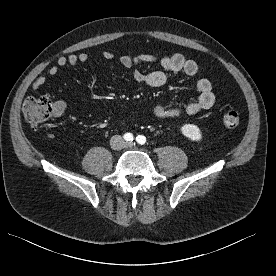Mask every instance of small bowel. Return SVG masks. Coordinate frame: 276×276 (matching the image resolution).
<instances>
[{
    "label": "small bowel",
    "mask_w": 276,
    "mask_h": 276,
    "mask_svg": "<svg viewBox=\"0 0 276 276\" xmlns=\"http://www.w3.org/2000/svg\"><path fill=\"white\" fill-rule=\"evenodd\" d=\"M102 58L106 61L114 59V54L111 51H104ZM89 60L87 53H73L68 56H61L57 59L56 65L50 66L48 73L50 76H56L59 73V68L67 65L77 66L80 63H86ZM158 61L161 69L143 73L135 69L133 71V78L136 82L145 84L150 87L158 88L167 82V73L180 74L183 73L188 76H194L198 73V64L192 60L184 57L181 54H174L158 58L153 54H139L136 56L122 55L119 57V62L123 67L130 68L141 63H154ZM44 77H38L33 85L32 91H39L45 84ZM196 89L198 91L197 99L187 103L184 106H164L157 105L153 108V114L156 118L161 120H175L183 114L194 115L198 112L208 109L213 106L215 102V95L212 90L211 82L206 78H201L196 82ZM66 105L63 101L58 100L54 103V111L56 114L64 112Z\"/></svg>",
    "instance_id": "obj_1"
}]
</instances>
